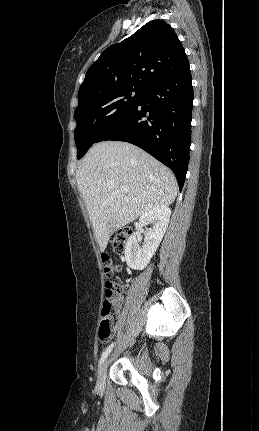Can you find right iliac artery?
<instances>
[{"label": "right iliac artery", "instance_id": "obj_1", "mask_svg": "<svg viewBox=\"0 0 259 431\" xmlns=\"http://www.w3.org/2000/svg\"><path fill=\"white\" fill-rule=\"evenodd\" d=\"M114 347V343H112L111 345H109L105 351L102 353L100 361H99V367H101V365L103 364V362L105 361V359L107 358V356L109 355V353L111 352L112 348Z\"/></svg>", "mask_w": 259, "mask_h": 431}]
</instances>
